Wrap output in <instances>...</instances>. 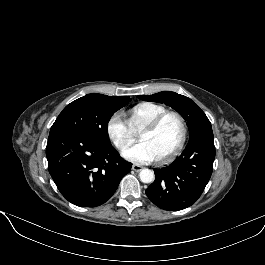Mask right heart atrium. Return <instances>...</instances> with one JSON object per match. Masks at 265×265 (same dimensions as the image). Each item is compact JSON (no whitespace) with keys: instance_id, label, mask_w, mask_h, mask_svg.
Returning <instances> with one entry per match:
<instances>
[{"instance_id":"right-heart-atrium-1","label":"right heart atrium","mask_w":265,"mask_h":265,"mask_svg":"<svg viewBox=\"0 0 265 265\" xmlns=\"http://www.w3.org/2000/svg\"><path fill=\"white\" fill-rule=\"evenodd\" d=\"M106 131L119 150L125 149L134 139L132 128L122 112H115L109 117Z\"/></svg>"}]
</instances>
